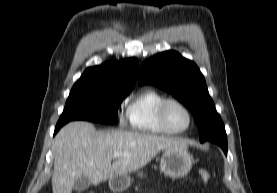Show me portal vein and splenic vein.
<instances>
[{"label":"portal vein and splenic vein","mask_w":277,"mask_h":193,"mask_svg":"<svg viewBox=\"0 0 277 193\" xmlns=\"http://www.w3.org/2000/svg\"><path fill=\"white\" fill-rule=\"evenodd\" d=\"M113 156H114V158H118V157H120V156H126V157H128V156H130L129 154H123V153H120V152H115L114 154H113Z\"/></svg>","instance_id":"1"}]
</instances>
